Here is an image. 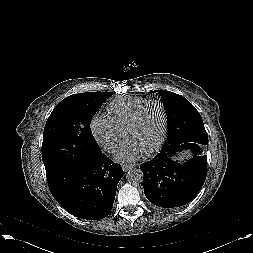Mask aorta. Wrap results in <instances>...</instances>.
Segmentation results:
<instances>
[{"instance_id":"1","label":"aorta","mask_w":253,"mask_h":253,"mask_svg":"<svg viewBox=\"0 0 253 253\" xmlns=\"http://www.w3.org/2000/svg\"><path fill=\"white\" fill-rule=\"evenodd\" d=\"M127 181L133 185L139 184L143 181V172L141 169L133 168L127 172Z\"/></svg>"}]
</instances>
